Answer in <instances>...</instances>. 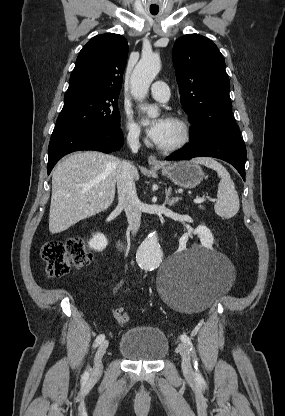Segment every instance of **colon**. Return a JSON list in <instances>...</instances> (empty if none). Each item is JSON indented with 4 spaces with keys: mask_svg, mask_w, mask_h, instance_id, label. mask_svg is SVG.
<instances>
[{
    "mask_svg": "<svg viewBox=\"0 0 285 416\" xmlns=\"http://www.w3.org/2000/svg\"><path fill=\"white\" fill-rule=\"evenodd\" d=\"M40 255L46 263L48 275L53 278L66 275L72 267L85 266L91 259L85 242L80 237L45 243L41 248ZM113 314L120 325L129 322L128 315L120 306L113 308Z\"/></svg>",
    "mask_w": 285,
    "mask_h": 416,
    "instance_id": "1",
    "label": "colon"
}]
</instances>
